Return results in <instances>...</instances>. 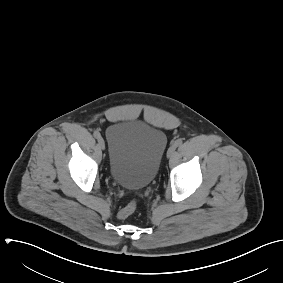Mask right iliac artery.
<instances>
[{"mask_svg": "<svg viewBox=\"0 0 283 283\" xmlns=\"http://www.w3.org/2000/svg\"><path fill=\"white\" fill-rule=\"evenodd\" d=\"M93 135H94V137H95L96 139L101 138V135H100V133H99L98 131H95Z\"/></svg>", "mask_w": 283, "mask_h": 283, "instance_id": "1", "label": "right iliac artery"}]
</instances>
